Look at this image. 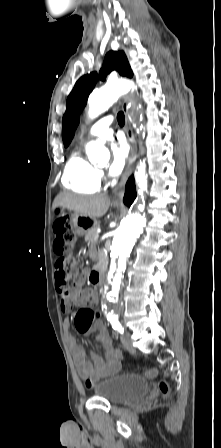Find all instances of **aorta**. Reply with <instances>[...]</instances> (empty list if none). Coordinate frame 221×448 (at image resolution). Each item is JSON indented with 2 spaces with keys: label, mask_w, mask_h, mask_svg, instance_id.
Listing matches in <instances>:
<instances>
[{
  "label": "aorta",
  "mask_w": 221,
  "mask_h": 448,
  "mask_svg": "<svg viewBox=\"0 0 221 448\" xmlns=\"http://www.w3.org/2000/svg\"><path fill=\"white\" fill-rule=\"evenodd\" d=\"M134 87V83L131 81L118 80L116 82L107 83L100 89L94 91L88 99L89 117L93 119L108 110L121 95L128 92L129 89H134ZM86 154L89 161L93 164L106 163L110 156L108 149L99 141L89 142L86 145ZM135 179L142 191L147 190V174L145 172L144 163L140 164L138 167ZM144 227V216L133 213L126 216L115 231L110 247L111 264L108 275V294L112 299L118 297L127 260L135 240L143 232Z\"/></svg>",
  "instance_id": "762f6f07"
}]
</instances>
